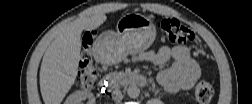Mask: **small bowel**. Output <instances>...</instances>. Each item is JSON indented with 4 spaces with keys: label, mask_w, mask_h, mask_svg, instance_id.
I'll use <instances>...</instances> for the list:
<instances>
[{
    "label": "small bowel",
    "mask_w": 252,
    "mask_h": 104,
    "mask_svg": "<svg viewBox=\"0 0 252 104\" xmlns=\"http://www.w3.org/2000/svg\"><path fill=\"white\" fill-rule=\"evenodd\" d=\"M171 59L172 64L158 73V83L167 93L190 89L200 77V68L191 57L187 47L182 45L162 46L135 57V60L148 61L157 66H164Z\"/></svg>",
    "instance_id": "1"
}]
</instances>
